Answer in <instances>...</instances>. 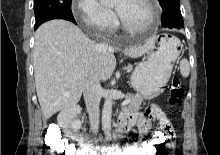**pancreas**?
<instances>
[{
	"label": "pancreas",
	"mask_w": 220,
	"mask_h": 155,
	"mask_svg": "<svg viewBox=\"0 0 220 155\" xmlns=\"http://www.w3.org/2000/svg\"><path fill=\"white\" fill-rule=\"evenodd\" d=\"M152 98L153 97L142 96L139 94H130L126 98L130 102L126 106H124L123 110L133 112L138 111L141 108V104L144 100H150Z\"/></svg>",
	"instance_id": "cf45deb5"
}]
</instances>
